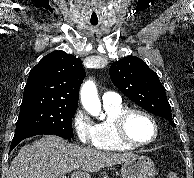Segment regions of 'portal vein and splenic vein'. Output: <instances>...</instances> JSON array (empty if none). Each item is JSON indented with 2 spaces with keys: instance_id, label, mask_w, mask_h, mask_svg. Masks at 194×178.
Wrapping results in <instances>:
<instances>
[{
  "instance_id": "portal-vein-and-splenic-vein-1",
  "label": "portal vein and splenic vein",
  "mask_w": 194,
  "mask_h": 178,
  "mask_svg": "<svg viewBox=\"0 0 194 178\" xmlns=\"http://www.w3.org/2000/svg\"><path fill=\"white\" fill-rule=\"evenodd\" d=\"M60 178H67L66 176H64V175H62V176H60Z\"/></svg>"
}]
</instances>
